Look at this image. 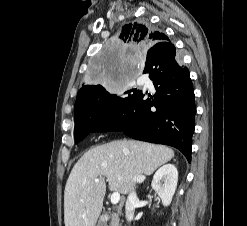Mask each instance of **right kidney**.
I'll return each mask as SVG.
<instances>
[{
	"label": "right kidney",
	"instance_id": "obj_1",
	"mask_svg": "<svg viewBox=\"0 0 247 226\" xmlns=\"http://www.w3.org/2000/svg\"><path fill=\"white\" fill-rule=\"evenodd\" d=\"M178 182V171L175 165L166 164L160 167L153 176L152 189L158 194L164 206L170 205Z\"/></svg>",
	"mask_w": 247,
	"mask_h": 226
}]
</instances>
